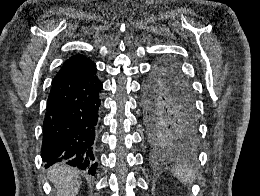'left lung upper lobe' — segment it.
I'll return each mask as SVG.
<instances>
[{
	"label": "left lung upper lobe",
	"mask_w": 260,
	"mask_h": 196,
	"mask_svg": "<svg viewBox=\"0 0 260 196\" xmlns=\"http://www.w3.org/2000/svg\"><path fill=\"white\" fill-rule=\"evenodd\" d=\"M141 105L145 140L153 151L189 148L199 141L193 92L178 61L155 65L144 83Z\"/></svg>",
	"instance_id": "obj_1"
}]
</instances>
